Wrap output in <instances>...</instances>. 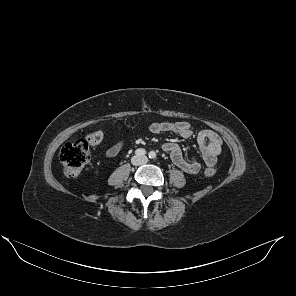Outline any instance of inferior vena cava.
I'll list each match as a JSON object with an SVG mask.
<instances>
[{
    "instance_id": "1",
    "label": "inferior vena cava",
    "mask_w": 296,
    "mask_h": 296,
    "mask_svg": "<svg viewBox=\"0 0 296 296\" xmlns=\"http://www.w3.org/2000/svg\"><path fill=\"white\" fill-rule=\"evenodd\" d=\"M148 159L147 157H143L142 160L138 164H145L147 163Z\"/></svg>"
}]
</instances>
